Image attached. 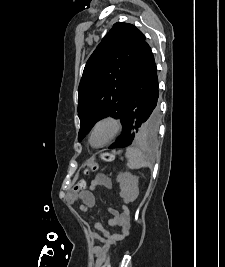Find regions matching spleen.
<instances>
[{"mask_svg": "<svg viewBox=\"0 0 225 267\" xmlns=\"http://www.w3.org/2000/svg\"><path fill=\"white\" fill-rule=\"evenodd\" d=\"M126 157L128 159L127 167L129 169H140L151 167L145 155L138 148L129 147L126 149Z\"/></svg>", "mask_w": 225, "mask_h": 267, "instance_id": "1", "label": "spleen"}]
</instances>
